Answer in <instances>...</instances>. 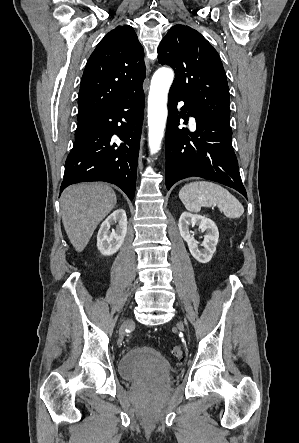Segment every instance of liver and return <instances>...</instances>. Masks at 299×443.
Masks as SVG:
<instances>
[{"instance_id": "liver-1", "label": "liver", "mask_w": 299, "mask_h": 443, "mask_svg": "<svg viewBox=\"0 0 299 443\" xmlns=\"http://www.w3.org/2000/svg\"><path fill=\"white\" fill-rule=\"evenodd\" d=\"M116 202L114 190L103 183H81L63 191L60 198L62 222L77 252L85 249L96 227Z\"/></svg>"}]
</instances>
